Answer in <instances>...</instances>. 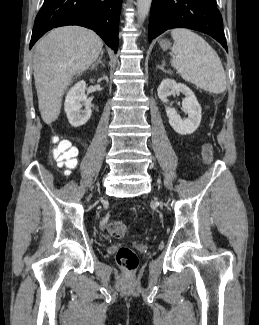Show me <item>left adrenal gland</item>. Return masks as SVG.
<instances>
[{
    "mask_svg": "<svg viewBox=\"0 0 259 325\" xmlns=\"http://www.w3.org/2000/svg\"><path fill=\"white\" fill-rule=\"evenodd\" d=\"M164 66H165V63L163 61L162 65L161 66L158 65L157 68L161 69L163 72L166 73V70L164 69Z\"/></svg>",
    "mask_w": 259,
    "mask_h": 325,
    "instance_id": "obj_1",
    "label": "left adrenal gland"
}]
</instances>
